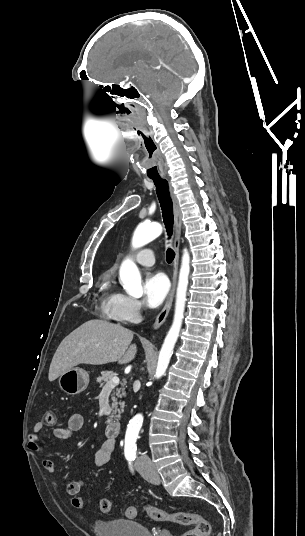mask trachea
<instances>
[{"mask_svg": "<svg viewBox=\"0 0 305 536\" xmlns=\"http://www.w3.org/2000/svg\"><path fill=\"white\" fill-rule=\"evenodd\" d=\"M151 180H153L156 186V193H157L160 206L162 209L164 225L166 228L168 239H170L173 234L174 218H173V203H172V199L169 193L168 182L167 180L161 177H151ZM174 258H175V252L172 250V248H168L166 251L167 263H171L174 260Z\"/></svg>", "mask_w": 305, "mask_h": 536, "instance_id": "obj_1", "label": "trachea"}]
</instances>
